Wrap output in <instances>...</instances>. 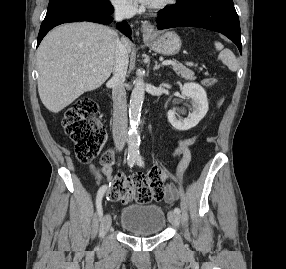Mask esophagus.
Listing matches in <instances>:
<instances>
[{
  "mask_svg": "<svg viewBox=\"0 0 286 269\" xmlns=\"http://www.w3.org/2000/svg\"><path fill=\"white\" fill-rule=\"evenodd\" d=\"M155 27L149 22H145L142 25L143 38H149L154 33Z\"/></svg>",
  "mask_w": 286,
  "mask_h": 269,
  "instance_id": "1",
  "label": "esophagus"
}]
</instances>
